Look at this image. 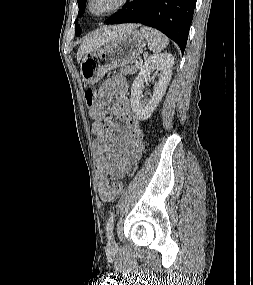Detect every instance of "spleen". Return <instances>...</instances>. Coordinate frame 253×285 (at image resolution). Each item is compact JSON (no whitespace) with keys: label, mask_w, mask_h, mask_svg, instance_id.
Instances as JSON below:
<instances>
[{"label":"spleen","mask_w":253,"mask_h":285,"mask_svg":"<svg viewBox=\"0 0 253 285\" xmlns=\"http://www.w3.org/2000/svg\"><path fill=\"white\" fill-rule=\"evenodd\" d=\"M141 33L147 40L148 48L155 52H161L168 45V38L161 32L150 27H142Z\"/></svg>","instance_id":"3e777b00"}]
</instances>
